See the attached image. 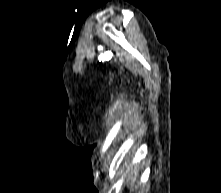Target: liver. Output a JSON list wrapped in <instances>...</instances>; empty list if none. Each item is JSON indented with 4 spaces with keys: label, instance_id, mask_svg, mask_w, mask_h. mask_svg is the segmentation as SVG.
Here are the masks:
<instances>
[{
    "label": "liver",
    "instance_id": "6515ba94",
    "mask_svg": "<svg viewBox=\"0 0 221 193\" xmlns=\"http://www.w3.org/2000/svg\"><path fill=\"white\" fill-rule=\"evenodd\" d=\"M136 174H137V169L135 168L130 174V181H131L130 188L131 189L135 186V183L137 181Z\"/></svg>",
    "mask_w": 221,
    "mask_h": 193
}]
</instances>
